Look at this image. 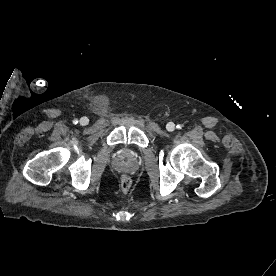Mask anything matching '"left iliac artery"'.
<instances>
[{"label":"left iliac artery","mask_w":276,"mask_h":276,"mask_svg":"<svg viewBox=\"0 0 276 276\" xmlns=\"http://www.w3.org/2000/svg\"><path fill=\"white\" fill-rule=\"evenodd\" d=\"M177 128L181 129V128H182V126H180V125H177Z\"/></svg>","instance_id":"left-iliac-artery-1"}]
</instances>
